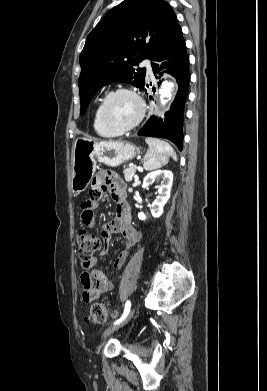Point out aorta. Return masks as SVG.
I'll return each instance as SVG.
<instances>
[{
  "mask_svg": "<svg viewBox=\"0 0 267 391\" xmlns=\"http://www.w3.org/2000/svg\"><path fill=\"white\" fill-rule=\"evenodd\" d=\"M173 89H174V84L172 82L170 81L163 82L162 88L159 91L161 95L160 101L162 105H165L167 103L168 100H166V98L170 99L172 97Z\"/></svg>",
  "mask_w": 267,
  "mask_h": 391,
  "instance_id": "762f6f07",
  "label": "aorta"
}]
</instances>
